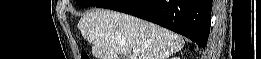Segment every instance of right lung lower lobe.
<instances>
[{
  "instance_id": "obj_1",
  "label": "right lung lower lobe",
  "mask_w": 261,
  "mask_h": 59,
  "mask_svg": "<svg viewBox=\"0 0 261 59\" xmlns=\"http://www.w3.org/2000/svg\"><path fill=\"white\" fill-rule=\"evenodd\" d=\"M96 7L142 18L186 36L202 48L206 46L211 0H102Z\"/></svg>"
}]
</instances>
